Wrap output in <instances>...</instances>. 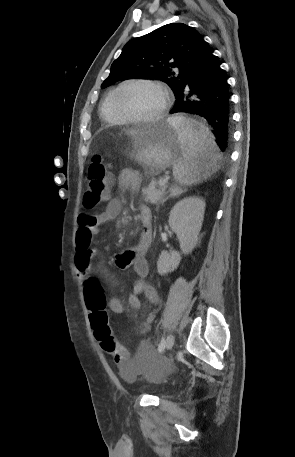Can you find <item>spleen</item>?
<instances>
[{"mask_svg": "<svg viewBox=\"0 0 295 457\" xmlns=\"http://www.w3.org/2000/svg\"><path fill=\"white\" fill-rule=\"evenodd\" d=\"M167 121L178 132L182 157L174 165L173 175L180 184L199 183L219 168L221 154L208 127L183 116Z\"/></svg>", "mask_w": 295, "mask_h": 457, "instance_id": "3e777b00", "label": "spleen"}]
</instances>
